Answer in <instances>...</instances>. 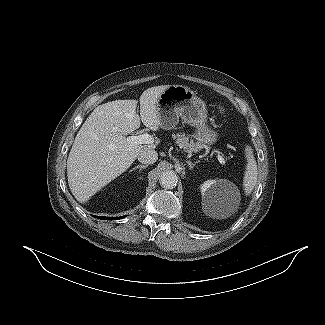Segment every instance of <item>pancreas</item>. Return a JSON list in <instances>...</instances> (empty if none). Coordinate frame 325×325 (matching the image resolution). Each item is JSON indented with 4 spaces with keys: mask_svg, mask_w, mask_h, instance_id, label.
I'll return each mask as SVG.
<instances>
[{
    "mask_svg": "<svg viewBox=\"0 0 325 325\" xmlns=\"http://www.w3.org/2000/svg\"><path fill=\"white\" fill-rule=\"evenodd\" d=\"M172 137L176 144L187 153L197 152L203 148L202 144L195 143L193 140L189 141V137L185 136V133H177L172 135Z\"/></svg>",
    "mask_w": 325,
    "mask_h": 325,
    "instance_id": "cf45deb5",
    "label": "pancreas"
}]
</instances>
